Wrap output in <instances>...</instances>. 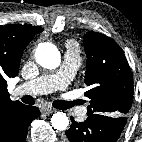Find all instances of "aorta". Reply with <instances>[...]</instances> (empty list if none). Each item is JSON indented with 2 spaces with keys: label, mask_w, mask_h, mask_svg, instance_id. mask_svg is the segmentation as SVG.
<instances>
[{
  "label": "aorta",
  "mask_w": 142,
  "mask_h": 142,
  "mask_svg": "<svg viewBox=\"0 0 142 142\" xmlns=\"http://www.w3.org/2000/svg\"><path fill=\"white\" fill-rule=\"evenodd\" d=\"M36 61L44 68L55 69L60 64V53L57 47L49 42L40 43L35 51ZM51 124L54 129L63 131L69 125V119L63 112L52 115Z\"/></svg>",
  "instance_id": "aorta-1"
}]
</instances>
